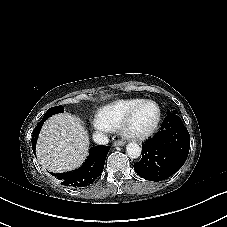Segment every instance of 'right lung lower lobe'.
Returning <instances> with one entry per match:
<instances>
[{
    "label": "right lung lower lobe",
    "instance_id": "98d812e1",
    "mask_svg": "<svg viewBox=\"0 0 227 227\" xmlns=\"http://www.w3.org/2000/svg\"><path fill=\"white\" fill-rule=\"evenodd\" d=\"M43 123L44 120H41L33 131L32 149L34 153L36 141ZM109 148L110 146L104 145L95 146L89 150L87 160L79 169L67 173L51 174L56 176L64 186L80 188L90 185L102 173Z\"/></svg>",
    "mask_w": 227,
    "mask_h": 227
}]
</instances>
